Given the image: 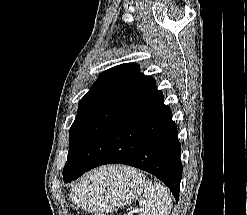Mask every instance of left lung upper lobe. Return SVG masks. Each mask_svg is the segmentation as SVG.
I'll use <instances>...</instances> for the list:
<instances>
[{"mask_svg":"<svg viewBox=\"0 0 247 215\" xmlns=\"http://www.w3.org/2000/svg\"><path fill=\"white\" fill-rule=\"evenodd\" d=\"M152 79L140 73L135 63L121 64L100 74L79 102L77 116L70 128L66 164L83 141L101 138Z\"/></svg>","mask_w":247,"mask_h":215,"instance_id":"left-lung-upper-lobe-1","label":"left lung upper lobe"}]
</instances>
